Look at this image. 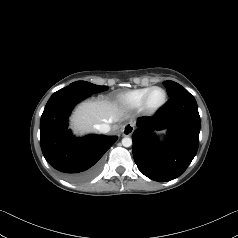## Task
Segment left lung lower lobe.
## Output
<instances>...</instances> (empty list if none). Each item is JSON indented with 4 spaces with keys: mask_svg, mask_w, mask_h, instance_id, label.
Listing matches in <instances>:
<instances>
[{
    "mask_svg": "<svg viewBox=\"0 0 238 238\" xmlns=\"http://www.w3.org/2000/svg\"><path fill=\"white\" fill-rule=\"evenodd\" d=\"M133 137V157L148 178L164 182L179 177L189 166L199 146L200 116L195 98L182 90L154 116L137 122ZM161 142L157 131H166Z\"/></svg>",
    "mask_w": 238,
    "mask_h": 238,
    "instance_id": "obj_1",
    "label": "left lung lower lobe"
}]
</instances>
